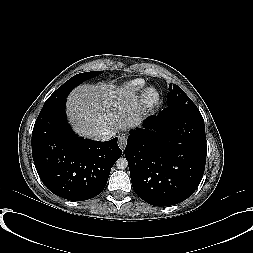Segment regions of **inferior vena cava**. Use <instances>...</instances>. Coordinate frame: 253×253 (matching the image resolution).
I'll return each instance as SVG.
<instances>
[{"label":"inferior vena cava","mask_w":253,"mask_h":253,"mask_svg":"<svg viewBox=\"0 0 253 253\" xmlns=\"http://www.w3.org/2000/svg\"><path fill=\"white\" fill-rule=\"evenodd\" d=\"M113 135H114L113 133L103 132L97 135L95 139L98 141H107L110 140Z\"/></svg>","instance_id":"obj_1"}]
</instances>
